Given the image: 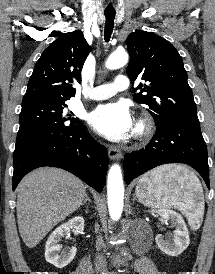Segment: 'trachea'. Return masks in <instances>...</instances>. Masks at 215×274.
<instances>
[{
    "label": "trachea",
    "mask_w": 215,
    "mask_h": 274,
    "mask_svg": "<svg viewBox=\"0 0 215 274\" xmlns=\"http://www.w3.org/2000/svg\"><path fill=\"white\" fill-rule=\"evenodd\" d=\"M106 22L104 30V38L106 42H109L111 34L114 28L115 13H105Z\"/></svg>",
    "instance_id": "1"
}]
</instances>
